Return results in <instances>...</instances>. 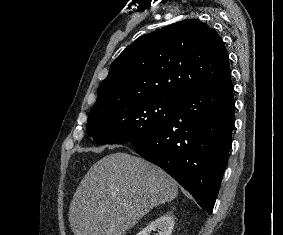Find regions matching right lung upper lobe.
<instances>
[{"mask_svg":"<svg viewBox=\"0 0 283 235\" xmlns=\"http://www.w3.org/2000/svg\"><path fill=\"white\" fill-rule=\"evenodd\" d=\"M229 77L228 53L217 32L186 19L129 45L111 64L93 107L133 97L177 99Z\"/></svg>","mask_w":283,"mask_h":235,"instance_id":"right-lung-upper-lobe-1","label":"right lung upper lobe"}]
</instances>
